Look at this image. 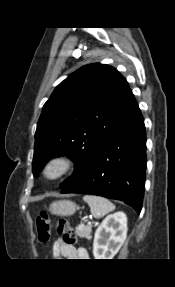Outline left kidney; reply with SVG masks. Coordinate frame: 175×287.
Masks as SVG:
<instances>
[{
  "instance_id": "5707ae66",
  "label": "left kidney",
  "mask_w": 175,
  "mask_h": 287,
  "mask_svg": "<svg viewBox=\"0 0 175 287\" xmlns=\"http://www.w3.org/2000/svg\"><path fill=\"white\" fill-rule=\"evenodd\" d=\"M127 236V217L123 212L108 215L98 226L93 242L95 259H113Z\"/></svg>"
}]
</instances>
